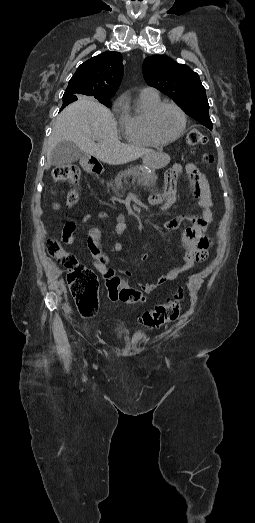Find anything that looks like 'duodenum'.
Here are the masks:
<instances>
[{
    "label": "duodenum",
    "instance_id": "410a0bca",
    "mask_svg": "<svg viewBox=\"0 0 255 523\" xmlns=\"http://www.w3.org/2000/svg\"><path fill=\"white\" fill-rule=\"evenodd\" d=\"M81 165L86 172L93 175H100L103 172V165L101 161L93 155L85 156L81 162Z\"/></svg>",
    "mask_w": 255,
    "mask_h": 523
}]
</instances>
